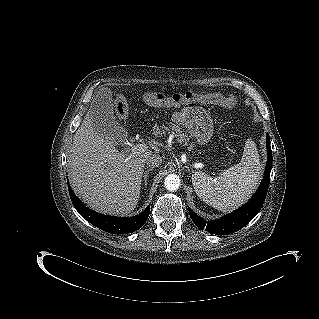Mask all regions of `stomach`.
Listing matches in <instances>:
<instances>
[{"label": "stomach", "mask_w": 319, "mask_h": 319, "mask_svg": "<svg viewBox=\"0 0 319 319\" xmlns=\"http://www.w3.org/2000/svg\"><path fill=\"white\" fill-rule=\"evenodd\" d=\"M183 126L195 139L196 144L206 145L213 134V122L209 114L202 109H195L187 114L183 121Z\"/></svg>", "instance_id": "0dacf381"}]
</instances>
